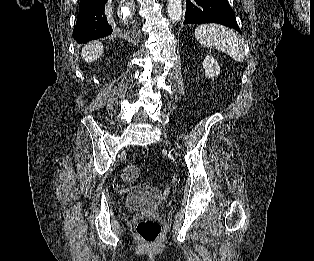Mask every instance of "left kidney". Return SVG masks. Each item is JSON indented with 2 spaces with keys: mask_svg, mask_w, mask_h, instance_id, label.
<instances>
[{
  "mask_svg": "<svg viewBox=\"0 0 314 261\" xmlns=\"http://www.w3.org/2000/svg\"><path fill=\"white\" fill-rule=\"evenodd\" d=\"M203 68L205 69V76L208 78L218 76L220 73V66L211 55H207L203 60Z\"/></svg>",
  "mask_w": 314,
  "mask_h": 261,
  "instance_id": "left-kidney-1",
  "label": "left kidney"
}]
</instances>
